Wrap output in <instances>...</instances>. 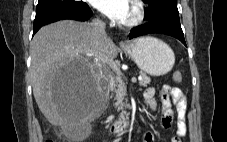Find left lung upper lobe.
<instances>
[{
  "label": "left lung upper lobe",
  "instance_id": "5c2ea615",
  "mask_svg": "<svg viewBox=\"0 0 227 142\" xmlns=\"http://www.w3.org/2000/svg\"><path fill=\"white\" fill-rule=\"evenodd\" d=\"M149 8L145 10V17L153 18L158 15L179 19L177 0H145Z\"/></svg>",
  "mask_w": 227,
  "mask_h": 142
}]
</instances>
